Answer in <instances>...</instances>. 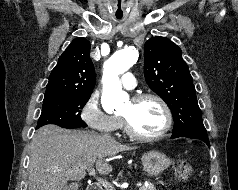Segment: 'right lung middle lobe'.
<instances>
[{
	"instance_id": "right-lung-middle-lobe-1",
	"label": "right lung middle lobe",
	"mask_w": 238,
	"mask_h": 190,
	"mask_svg": "<svg viewBox=\"0 0 238 190\" xmlns=\"http://www.w3.org/2000/svg\"><path fill=\"white\" fill-rule=\"evenodd\" d=\"M90 95H65L44 98L42 113L37 128L46 124H56L64 128L86 127L80 112Z\"/></svg>"
}]
</instances>
